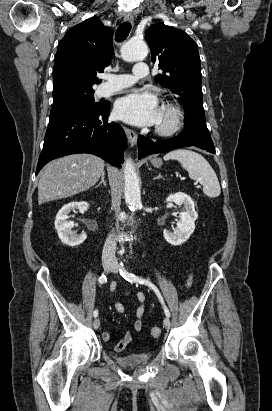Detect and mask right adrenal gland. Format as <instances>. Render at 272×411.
Here are the masks:
<instances>
[{
	"label": "right adrenal gland",
	"mask_w": 272,
	"mask_h": 411,
	"mask_svg": "<svg viewBox=\"0 0 272 411\" xmlns=\"http://www.w3.org/2000/svg\"><path fill=\"white\" fill-rule=\"evenodd\" d=\"M101 184L106 186V181H105V172L102 173L101 175V181L96 185V188L99 187Z\"/></svg>",
	"instance_id": "1"
}]
</instances>
